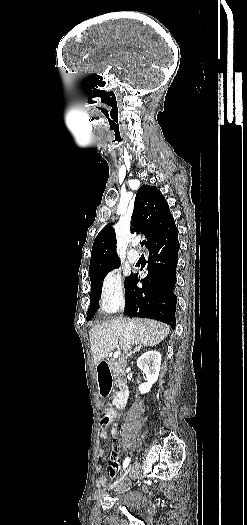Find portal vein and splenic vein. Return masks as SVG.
Instances as JSON below:
<instances>
[{"mask_svg":"<svg viewBox=\"0 0 247 525\" xmlns=\"http://www.w3.org/2000/svg\"><path fill=\"white\" fill-rule=\"evenodd\" d=\"M121 355L120 351H114L111 355V358L113 360H116L118 358V356Z\"/></svg>","mask_w":247,"mask_h":525,"instance_id":"18ae733b","label":"portal vein and splenic vein"}]
</instances>
